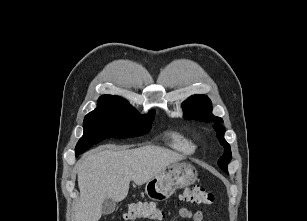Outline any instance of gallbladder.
<instances>
[{"label":"gallbladder","instance_id":"obj_1","mask_svg":"<svg viewBox=\"0 0 307 221\" xmlns=\"http://www.w3.org/2000/svg\"><path fill=\"white\" fill-rule=\"evenodd\" d=\"M116 202L110 198H106L102 204V214L109 215L116 210Z\"/></svg>","mask_w":307,"mask_h":221}]
</instances>
